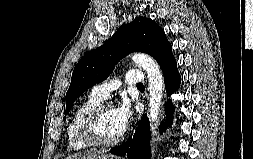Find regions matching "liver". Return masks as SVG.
Instances as JSON below:
<instances>
[{
	"mask_svg": "<svg viewBox=\"0 0 253 159\" xmlns=\"http://www.w3.org/2000/svg\"><path fill=\"white\" fill-rule=\"evenodd\" d=\"M106 157L113 158V155L104 154L102 152L94 151V152H87V153H76L67 159H102Z\"/></svg>",
	"mask_w": 253,
	"mask_h": 159,
	"instance_id": "6515ba94",
	"label": "liver"
}]
</instances>
